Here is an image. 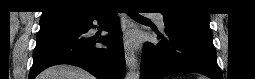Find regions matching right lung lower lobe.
<instances>
[{"instance_id": "1", "label": "right lung lower lobe", "mask_w": 255, "mask_h": 79, "mask_svg": "<svg viewBox=\"0 0 255 79\" xmlns=\"http://www.w3.org/2000/svg\"><path fill=\"white\" fill-rule=\"evenodd\" d=\"M104 12L72 22L40 28L33 52V66L29 79H34L44 69L56 64L80 66L99 79H122L125 72V56L118 20L106 29L108 36L89 37V29L98 20L104 23ZM107 47L98 48L96 43Z\"/></svg>"}]
</instances>
